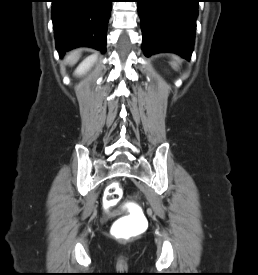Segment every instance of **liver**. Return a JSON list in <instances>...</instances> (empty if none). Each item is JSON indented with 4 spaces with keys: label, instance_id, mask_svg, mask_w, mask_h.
<instances>
[{
    "label": "liver",
    "instance_id": "6515ba94",
    "mask_svg": "<svg viewBox=\"0 0 258 275\" xmlns=\"http://www.w3.org/2000/svg\"><path fill=\"white\" fill-rule=\"evenodd\" d=\"M80 57V52L75 50V51H72L70 52L66 58H65V62L70 64V65H73Z\"/></svg>",
    "mask_w": 258,
    "mask_h": 275
}]
</instances>
